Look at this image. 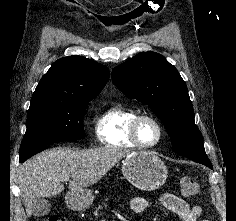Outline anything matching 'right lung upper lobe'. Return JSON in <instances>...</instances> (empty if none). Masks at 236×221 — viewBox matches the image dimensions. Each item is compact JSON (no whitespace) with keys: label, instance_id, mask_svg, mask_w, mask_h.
I'll use <instances>...</instances> for the list:
<instances>
[{"label":"right lung upper lobe","instance_id":"1","mask_svg":"<svg viewBox=\"0 0 236 221\" xmlns=\"http://www.w3.org/2000/svg\"><path fill=\"white\" fill-rule=\"evenodd\" d=\"M108 78V69L95 61L78 55L63 57L42 77L31 100H92Z\"/></svg>","mask_w":236,"mask_h":221}]
</instances>
